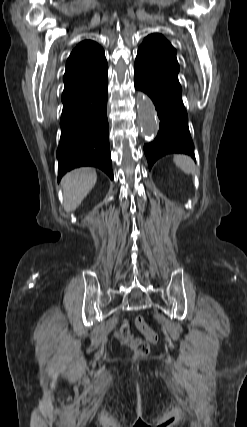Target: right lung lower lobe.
Wrapping results in <instances>:
<instances>
[{
  "mask_svg": "<svg viewBox=\"0 0 247 427\" xmlns=\"http://www.w3.org/2000/svg\"><path fill=\"white\" fill-rule=\"evenodd\" d=\"M108 69L62 94L58 181L77 167L94 166L113 179L106 115Z\"/></svg>",
  "mask_w": 247,
  "mask_h": 427,
  "instance_id": "obj_1",
  "label": "right lung lower lobe"
}]
</instances>
